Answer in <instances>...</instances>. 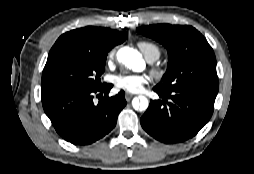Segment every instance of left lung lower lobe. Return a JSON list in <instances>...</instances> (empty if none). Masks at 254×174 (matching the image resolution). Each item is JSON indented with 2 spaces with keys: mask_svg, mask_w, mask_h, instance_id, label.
Returning a JSON list of instances; mask_svg holds the SVG:
<instances>
[{
  "mask_svg": "<svg viewBox=\"0 0 254 174\" xmlns=\"http://www.w3.org/2000/svg\"><path fill=\"white\" fill-rule=\"evenodd\" d=\"M153 90L162 100L151 101L140 119L143 129L155 139L179 143L194 137L210 120L217 92L184 87L174 92Z\"/></svg>",
  "mask_w": 254,
  "mask_h": 174,
  "instance_id": "obj_1",
  "label": "left lung lower lobe"
}]
</instances>
